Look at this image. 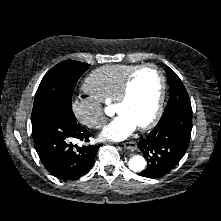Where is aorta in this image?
I'll return each mask as SVG.
<instances>
[{
	"label": "aorta",
	"mask_w": 221,
	"mask_h": 221,
	"mask_svg": "<svg viewBox=\"0 0 221 221\" xmlns=\"http://www.w3.org/2000/svg\"><path fill=\"white\" fill-rule=\"evenodd\" d=\"M129 168L134 172H141L146 166V161L142 156L135 155L129 160Z\"/></svg>",
	"instance_id": "obj_1"
}]
</instances>
